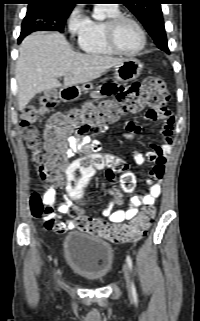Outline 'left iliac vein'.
Here are the masks:
<instances>
[{"instance_id": "obj_1", "label": "left iliac vein", "mask_w": 200, "mask_h": 321, "mask_svg": "<svg viewBox=\"0 0 200 321\" xmlns=\"http://www.w3.org/2000/svg\"><path fill=\"white\" fill-rule=\"evenodd\" d=\"M123 272H124V277H125L128 293L132 294L130 270H129V266L127 264L123 265Z\"/></svg>"}]
</instances>
